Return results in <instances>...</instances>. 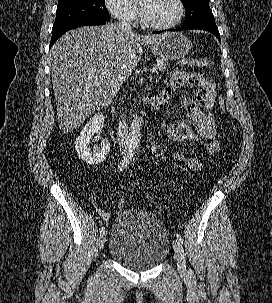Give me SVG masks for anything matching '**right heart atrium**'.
Instances as JSON below:
<instances>
[{
    "mask_svg": "<svg viewBox=\"0 0 272 303\" xmlns=\"http://www.w3.org/2000/svg\"><path fill=\"white\" fill-rule=\"evenodd\" d=\"M108 11L120 22L134 24L137 22L139 12L131 0H105Z\"/></svg>",
    "mask_w": 272,
    "mask_h": 303,
    "instance_id": "d8ad5b80",
    "label": "right heart atrium"
}]
</instances>
